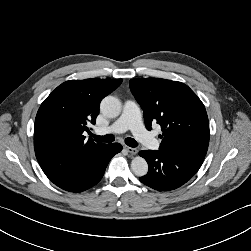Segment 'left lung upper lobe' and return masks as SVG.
Here are the masks:
<instances>
[{"label": "left lung upper lobe", "mask_w": 251, "mask_h": 251, "mask_svg": "<svg viewBox=\"0 0 251 251\" xmlns=\"http://www.w3.org/2000/svg\"><path fill=\"white\" fill-rule=\"evenodd\" d=\"M130 90L143 109L145 126L163 129L159 150L204 159L209 144V122L204 104L184 83L161 78H136Z\"/></svg>", "instance_id": "left-lung-upper-lobe-1"}]
</instances>
